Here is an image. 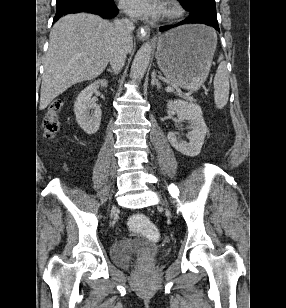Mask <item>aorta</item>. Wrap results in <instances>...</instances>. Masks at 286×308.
<instances>
[{"label":"aorta","instance_id":"1","mask_svg":"<svg viewBox=\"0 0 286 308\" xmlns=\"http://www.w3.org/2000/svg\"><path fill=\"white\" fill-rule=\"evenodd\" d=\"M153 47L150 43H145L137 51L131 66L130 76L133 80H141L149 65Z\"/></svg>","mask_w":286,"mask_h":308}]
</instances>
